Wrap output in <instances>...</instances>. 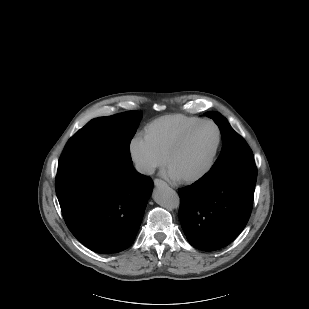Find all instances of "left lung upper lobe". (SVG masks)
Wrapping results in <instances>:
<instances>
[{"label": "left lung upper lobe", "instance_id": "1", "mask_svg": "<svg viewBox=\"0 0 309 309\" xmlns=\"http://www.w3.org/2000/svg\"><path fill=\"white\" fill-rule=\"evenodd\" d=\"M204 115L216 122L221 131L223 143L221 153L209 172H213L237 158L252 155V151L244 139L232 129L228 121L220 113L210 111Z\"/></svg>", "mask_w": 309, "mask_h": 309}]
</instances>
